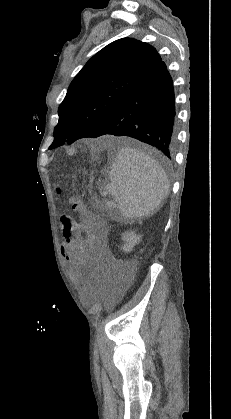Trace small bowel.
Wrapping results in <instances>:
<instances>
[{"instance_id":"obj_1","label":"small bowel","mask_w":231,"mask_h":419,"mask_svg":"<svg viewBox=\"0 0 231 419\" xmlns=\"http://www.w3.org/2000/svg\"><path fill=\"white\" fill-rule=\"evenodd\" d=\"M61 225L63 230V241L60 246V251L69 265L71 275L77 276V269L84 265L88 259V251L90 247L84 242L82 238V230L80 225L75 222L71 216L64 214L61 218ZM100 256L104 255L102 249L99 250ZM124 288H112L108 292L107 302L109 305L115 303L123 294Z\"/></svg>"}]
</instances>
